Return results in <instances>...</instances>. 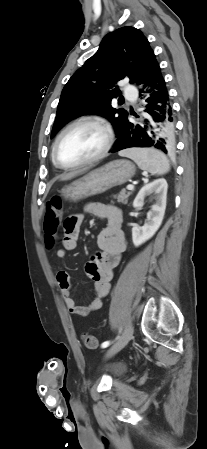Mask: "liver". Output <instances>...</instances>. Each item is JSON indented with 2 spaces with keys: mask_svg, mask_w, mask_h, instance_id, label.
I'll return each mask as SVG.
<instances>
[{
  "mask_svg": "<svg viewBox=\"0 0 207 449\" xmlns=\"http://www.w3.org/2000/svg\"><path fill=\"white\" fill-rule=\"evenodd\" d=\"M80 173H82V171H74V172H70V173L61 175V176L59 177V179H60L61 181H67V180H70V179L76 177V176L79 175Z\"/></svg>",
  "mask_w": 207,
  "mask_h": 449,
  "instance_id": "obj_1",
  "label": "liver"
}]
</instances>
